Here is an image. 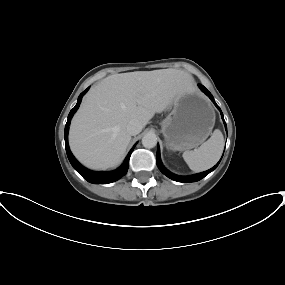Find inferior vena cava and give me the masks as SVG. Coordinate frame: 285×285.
<instances>
[{
	"label": "inferior vena cava",
	"mask_w": 285,
	"mask_h": 285,
	"mask_svg": "<svg viewBox=\"0 0 285 285\" xmlns=\"http://www.w3.org/2000/svg\"><path fill=\"white\" fill-rule=\"evenodd\" d=\"M142 128V124L138 120H131L126 126L127 132L132 136L139 134Z\"/></svg>",
	"instance_id": "obj_1"
}]
</instances>
